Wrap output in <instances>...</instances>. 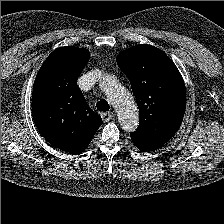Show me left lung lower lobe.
<instances>
[{
  "label": "left lung lower lobe",
  "instance_id": "left-lung-lower-lobe-1",
  "mask_svg": "<svg viewBox=\"0 0 224 224\" xmlns=\"http://www.w3.org/2000/svg\"><path fill=\"white\" fill-rule=\"evenodd\" d=\"M130 137L134 145L143 152L154 151L164 145L161 142L137 131L130 133Z\"/></svg>",
  "mask_w": 224,
  "mask_h": 224
}]
</instances>
